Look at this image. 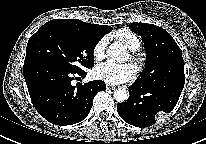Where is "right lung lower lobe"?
Here are the masks:
<instances>
[{"instance_id":"1","label":"right lung lower lobe","mask_w":206,"mask_h":144,"mask_svg":"<svg viewBox=\"0 0 206 144\" xmlns=\"http://www.w3.org/2000/svg\"><path fill=\"white\" fill-rule=\"evenodd\" d=\"M30 98L38 113L47 121L61 126L84 120L89 114L94 96L106 89L105 82L95 80L72 85V72L49 64H30L23 67Z\"/></svg>"}]
</instances>
